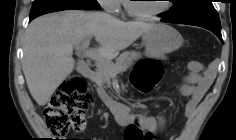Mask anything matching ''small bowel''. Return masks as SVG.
I'll return each mask as SVG.
<instances>
[{
  "label": "small bowel",
  "instance_id": "1",
  "mask_svg": "<svg viewBox=\"0 0 236 140\" xmlns=\"http://www.w3.org/2000/svg\"><path fill=\"white\" fill-rule=\"evenodd\" d=\"M188 73L183 78L179 90L182 95L187 97L185 105V117L191 118L196 111V108L208 89L210 88L215 73L211 68L203 69L200 62L189 61L187 64ZM132 118H130L128 123ZM142 127L150 134H156L162 131L166 126V117L161 115L158 118L140 116ZM95 140V139H94ZM171 140H177L175 136Z\"/></svg>",
  "mask_w": 236,
  "mask_h": 140
}]
</instances>
